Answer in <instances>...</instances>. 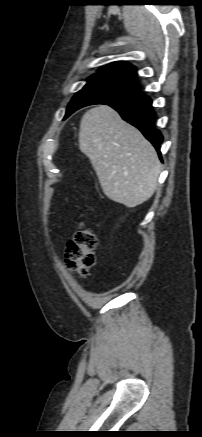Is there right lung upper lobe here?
Segmentation results:
<instances>
[{
	"label": "right lung upper lobe",
	"instance_id": "1",
	"mask_svg": "<svg viewBox=\"0 0 202 437\" xmlns=\"http://www.w3.org/2000/svg\"><path fill=\"white\" fill-rule=\"evenodd\" d=\"M98 72H111L120 74L126 77H129L131 79H135L136 75V68L132 66L129 63L123 62V61H117L110 63L106 67L101 68Z\"/></svg>",
	"mask_w": 202,
	"mask_h": 437
}]
</instances>
